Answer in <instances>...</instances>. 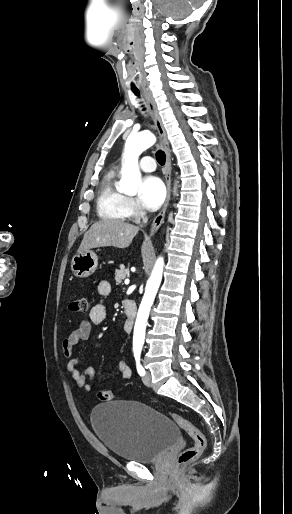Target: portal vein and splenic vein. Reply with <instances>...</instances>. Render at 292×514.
Wrapping results in <instances>:
<instances>
[{
	"instance_id": "obj_1",
	"label": "portal vein and splenic vein",
	"mask_w": 292,
	"mask_h": 514,
	"mask_svg": "<svg viewBox=\"0 0 292 514\" xmlns=\"http://www.w3.org/2000/svg\"><path fill=\"white\" fill-rule=\"evenodd\" d=\"M130 280H125V284H129Z\"/></svg>"
}]
</instances>
